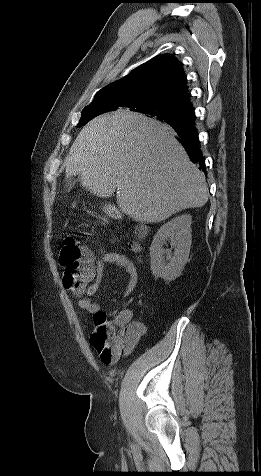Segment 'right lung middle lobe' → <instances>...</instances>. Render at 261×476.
I'll list each match as a JSON object with an SVG mask.
<instances>
[{"instance_id": "right-lung-middle-lobe-1", "label": "right lung middle lobe", "mask_w": 261, "mask_h": 476, "mask_svg": "<svg viewBox=\"0 0 261 476\" xmlns=\"http://www.w3.org/2000/svg\"><path fill=\"white\" fill-rule=\"evenodd\" d=\"M118 101H119V97L115 95L105 96L97 100H93V102L90 105L84 108L80 122L78 123L77 126L78 127L84 126L88 121H90L94 117L102 113L115 111V110H118V111L131 110L134 112L146 114V115L155 117L157 119H160L161 121H164L167 124L178 121L185 115V112L178 108L161 104V103H155V102L142 104L131 109L121 110L119 107L120 104Z\"/></svg>"}]
</instances>
